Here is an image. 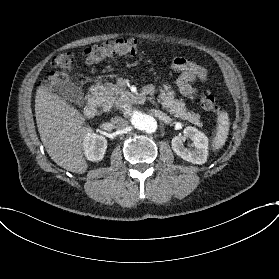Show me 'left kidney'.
Returning a JSON list of instances; mask_svg holds the SVG:
<instances>
[{
  "label": "left kidney",
  "mask_w": 279,
  "mask_h": 279,
  "mask_svg": "<svg viewBox=\"0 0 279 279\" xmlns=\"http://www.w3.org/2000/svg\"><path fill=\"white\" fill-rule=\"evenodd\" d=\"M186 139L192 141L191 148L187 149L184 146ZM172 149L175 154L183 160L196 165H202L207 161L208 156V139L194 127H186L182 135H177L172 138Z\"/></svg>",
  "instance_id": "1"
}]
</instances>
